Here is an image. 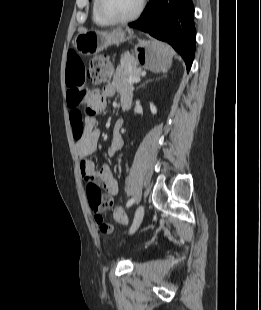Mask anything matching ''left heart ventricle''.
Returning a JSON list of instances; mask_svg holds the SVG:
<instances>
[{
  "label": "left heart ventricle",
  "instance_id": "1",
  "mask_svg": "<svg viewBox=\"0 0 261 310\" xmlns=\"http://www.w3.org/2000/svg\"><path fill=\"white\" fill-rule=\"evenodd\" d=\"M139 0H103L104 11L115 18L130 16L138 7Z\"/></svg>",
  "mask_w": 261,
  "mask_h": 310
}]
</instances>
